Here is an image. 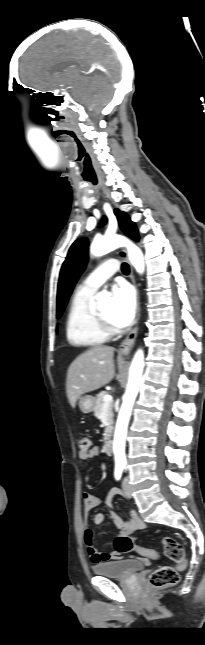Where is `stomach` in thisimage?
<instances>
[{
	"instance_id": "stomach-1",
	"label": "stomach",
	"mask_w": 205,
	"mask_h": 645,
	"mask_svg": "<svg viewBox=\"0 0 205 645\" xmlns=\"http://www.w3.org/2000/svg\"><path fill=\"white\" fill-rule=\"evenodd\" d=\"M78 404L83 413H90L94 411L96 399L91 395L81 396Z\"/></svg>"
}]
</instances>
